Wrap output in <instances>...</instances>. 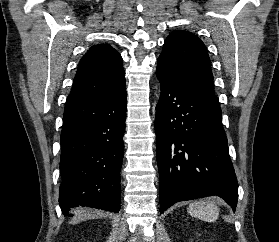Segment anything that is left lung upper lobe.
Segmentation results:
<instances>
[{
	"label": "left lung upper lobe",
	"mask_w": 279,
	"mask_h": 242,
	"mask_svg": "<svg viewBox=\"0 0 279 242\" xmlns=\"http://www.w3.org/2000/svg\"><path fill=\"white\" fill-rule=\"evenodd\" d=\"M159 59L165 60L175 73L200 88L219 105L207 48L196 35L188 31H173L165 40Z\"/></svg>",
	"instance_id": "left-lung-upper-lobe-1"
}]
</instances>
